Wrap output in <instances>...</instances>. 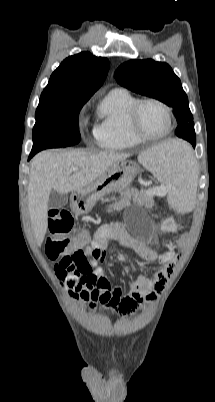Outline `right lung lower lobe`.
<instances>
[{
  "label": "right lung lower lobe",
  "instance_id": "98d812e1",
  "mask_svg": "<svg viewBox=\"0 0 215 402\" xmlns=\"http://www.w3.org/2000/svg\"><path fill=\"white\" fill-rule=\"evenodd\" d=\"M31 157H33V155L30 154L29 159H30Z\"/></svg>",
  "mask_w": 215,
  "mask_h": 402
}]
</instances>
